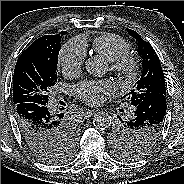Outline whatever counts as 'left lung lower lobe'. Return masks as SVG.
Wrapping results in <instances>:
<instances>
[{"label": "left lung lower lobe", "instance_id": "1", "mask_svg": "<svg viewBox=\"0 0 184 184\" xmlns=\"http://www.w3.org/2000/svg\"><path fill=\"white\" fill-rule=\"evenodd\" d=\"M166 95L155 94L136 106L134 118L129 120V124L133 127L155 126L158 127L155 141L160 135L166 114ZM146 145V141L137 142L135 147L142 149Z\"/></svg>", "mask_w": 184, "mask_h": 184}]
</instances>
